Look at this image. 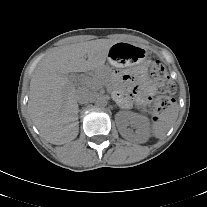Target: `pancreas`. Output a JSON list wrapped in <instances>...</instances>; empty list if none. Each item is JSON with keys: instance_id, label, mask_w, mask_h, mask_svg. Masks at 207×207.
I'll use <instances>...</instances> for the list:
<instances>
[{"instance_id": "obj_1", "label": "pancreas", "mask_w": 207, "mask_h": 207, "mask_svg": "<svg viewBox=\"0 0 207 207\" xmlns=\"http://www.w3.org/2000/svg\"><path fill=\"white\" fill-rule=\"evenodd\" d=\"M102 85H106L108 88H112L113 80L107 74L105 70L98 69L95 71L93 77L90 79V87L97 89Z\"/></svg>"}]
</instances>
